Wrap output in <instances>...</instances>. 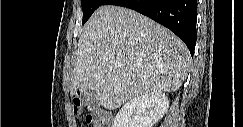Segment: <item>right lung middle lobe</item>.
Here are the masks:
<instances>
[{
	"label": "right lung middle lobe",
	"instance_id": "dd1d6c3e",
	"mask_svg": "<svg viewBox=\"0 0 243 127\" xmlns=\"http://www.w3.org/2000/svg\"><path fill=\"white\" fill-rule=\"evenodd\" d=\"M106 2V0H81V6L83 10V20L82 24H84L90 16L93 14V12L103 5Z\"/></svg>",
	"mask_w": 243,
	"mask_h": 127
}]
</instances>
